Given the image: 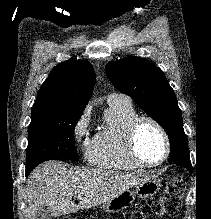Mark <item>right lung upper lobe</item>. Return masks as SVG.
Returning a JSON list of instances; mask_svg holds the SVG:
<instances>
[{
	"instance_id": "obj_1",
	"label": "right lung upper lobe",
	"mask_w": 211,
	"mask_h": 219,
	"mask_svg": "<svg viewBox=\"0 0 211 219\" xmlns=\"http://www.w3.org/2000/svg\"><path fill=\"white\" fill-rule=\"evenodd\" d=\"M96 76L86 60L70 59L58 64L42 84L34 106H48L57 113H82Z\"/></svg>"
}]
</instances>
